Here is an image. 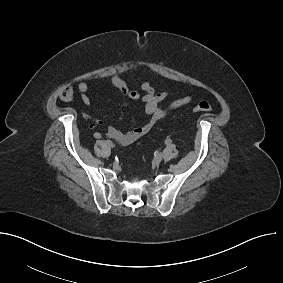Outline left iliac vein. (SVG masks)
<instances>
[{
	"instance_id": "4c4485c4",
	"label": "left iliac vein",
	"mask_w": 283,
	"mask_h": 283,
	"mask_svg": "<svg viewBox=\"0 0 283 283\" xmlns=\"http://www.w3.org/2000/svg\"><path fill=\"white\" fill-rule=\"evenodd\" d=\"M163 159V155L162 154H157L155 157H154V161L155 163L159 164Z\"/></svg>"
}]
</instances>
